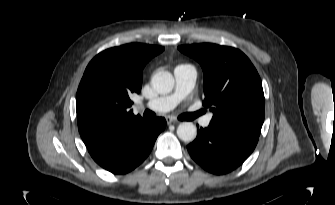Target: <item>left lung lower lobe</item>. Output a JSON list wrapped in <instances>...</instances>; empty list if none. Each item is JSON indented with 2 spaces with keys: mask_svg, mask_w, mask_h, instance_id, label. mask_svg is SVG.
Returning <instances> with one entry per match:
<instances>
[{
  "mask_svg": "<svg viewBox=\"0 0 335 205\" xmlns=\"http://www.w3.org/2000/svg\"><path fill=\"white\" fill-rule=\"evenodd\" d=\"M258 138L211 121L207 128L198 130L197 138L187 149L202 168L219 175L240 166L253 152Z\"/></svg>",
  "mask_w": 335,
  "mask_h": 205,
  "instance_id": "1",
  "label": "left lung lower lobe"
}]
</instances>
